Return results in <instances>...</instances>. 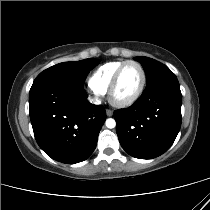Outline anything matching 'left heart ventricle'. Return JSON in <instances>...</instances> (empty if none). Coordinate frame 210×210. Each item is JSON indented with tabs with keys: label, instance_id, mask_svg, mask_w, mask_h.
Here are the masks:
<instances>
[{
	"label": "left heart ventricle",
	"instance_id": "1",
	"mask_svg": "<svg viewBox=\"0 0 210 210\" xmlns=\"http://www.w3.org/2000/svg\"><path fill=\"white\" fill-rule=\"evenodd\" d=\"M141 82V72L134 64L127 65L120 76L114 96L118 100L131 97L138 89Z\"/></svg>",
	"mask_w": 210,
	"mask_h": 210
}]
</instances>
